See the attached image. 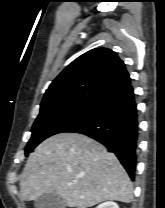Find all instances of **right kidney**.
Listing matches in <instances>:
<instances>
[{"mask_svg": "<svg viewBox=\"0 0 165 208\" xmlns=\"http://www.w3.org/2000/svg\"><path fill=\"white\" fill-rule=\"evenodd\" d=\"M96 208H119V206L115 202L108 201L98 205Z\"/></svg>", "mask_w": 165, "mask_h": 208, "instance_id": "right-kidney-1", "label": "right kidney"}]
</instances>
